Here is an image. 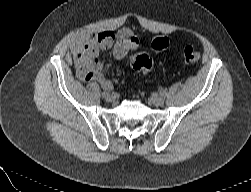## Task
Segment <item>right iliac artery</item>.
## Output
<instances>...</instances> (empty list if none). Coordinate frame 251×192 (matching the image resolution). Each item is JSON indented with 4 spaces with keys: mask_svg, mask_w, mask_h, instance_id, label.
<instances>
[{
    "mask_svg": "<svg viewBox=\"0 0 251 192\" xmlns=\"http://www.w3.org/2000/svg\"><path fill=\"white\" fill-rule=\"evenodd\" d=\"M110 89H105L102 93V96L106 98V96L109 94Z\"/></svg>",
    "mask_w": 251,
    "mask_h": 192,
    "instance_id": "obj_1",
    "label": "right iliac artery"
}]
</instances>
